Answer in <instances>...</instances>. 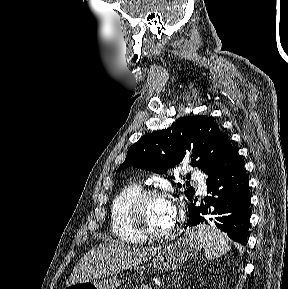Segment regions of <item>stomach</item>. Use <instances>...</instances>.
<instances>
[{"instance_id": "1", "label": "stomach", "mask_w": 288, "mask_h": 289, "mask_svg": "<svg viewBox=\"0 0 288 289\" xmlns=\"http://www.w3.org/2000/svg\"><path fill=\"white\" fill-rule=\"evenodd\" d=\"M201 248V243L187 231L182 238L161 247L152 259V266L161 271L173 270L191 256L196 255ZM122 282L115 274L99 281L89 280L75 283L67 286L66 289H117Z\"/></svg>"}]
</instances>
